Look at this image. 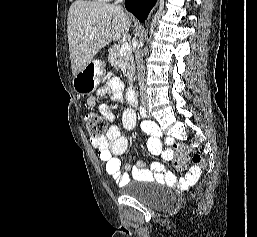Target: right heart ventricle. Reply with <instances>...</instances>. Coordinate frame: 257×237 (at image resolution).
<instances>
[{
  "mask_svg": "<svg viewBox=\"0 0 257 237\" xmlns=\"http://www.w3.org/2000/svg\"><path fill=\"white\" fill-rule=\"evenodd\" d=\"M95 2H104V1H108V0H93Z\"/></svg>",
  "mask_w": 257,
  "mask_h": 237,
  "instance_id": "1",
  "label": "right heart ventricle"
}]
</instances>
